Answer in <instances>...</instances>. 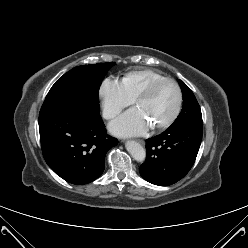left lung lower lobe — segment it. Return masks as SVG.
Segmentation results:
<instances>
[{
    "label": "left lung lower lobe",
    "instance_id": "1",
    "mask_svg": "<svg viewBox=\"0 0 248 248\" xmlns=\"http://www.w3.org/2000/svg\"><path fill=\"white\" fill-rule=\"evenodd\" d=\"M201 140L202 124L169 127L147 139V158L139 168L141 176L159 186L176 183L193 166Z\"/></svg>",
    "mask_w": 248,
    "mask_h": 248
}]
</instances>
